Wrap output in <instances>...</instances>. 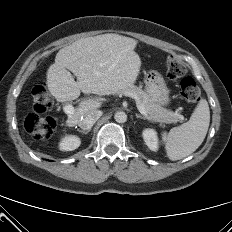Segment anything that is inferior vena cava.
<instances>
[{
  "instance_id": "inferior-vena-cava-1",
  "label": "inferior vena cava",
  "mask_w": 232,
  "mask_h": 232,
  "mask_svg": "<svg viewBox=\"0 0 232 232\" xmlns=\"http://www.w3.org/2000/svg\"><path fill=\"white\" fill-rule=\"evenodd\" d=\"M101 116L102 112L99 110L90 111L81 118L79 125L83 130H88Z\"/></svg>"
}]
</instances>
